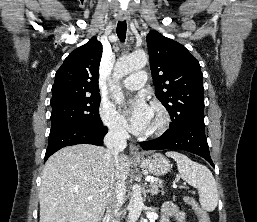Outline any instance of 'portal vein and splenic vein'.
I'll use <instances>...</instances> for the list:
<instances>
[{
	"mask_svg": "<svg viewBox=\"0 0 257 222\" xmlns=\"http://www.w3.org/2000/svg\"><path fill=\"white\" fill-rule=\"evenodd\" d=\"M146 180H147L148 182H156V181H157V179H155L154 177H146ZM173 187L176 188L177 186L174 185ZM180 187H182V186H180ZM92 198H93L92 196H88V199H89V200H91Z\"/></svg>",
	"mask_w": 257,
	"mask_h": 222,
	"instance_id": "18ae733b",
	"label": "portal vein and splenic vein"
}]
</instances>
